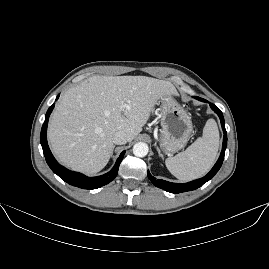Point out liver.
I'll return each mask as SVG.
<instances>
[{"instance_id":"obj_1","label":"liver","mask_w":269,"mask_h":269,"mask_svg":"<svg viewBox=\"0 0 269 269\" xmlns=\"http://www.w3.org/2000/svg\"><path fill=\"white\" fill-rule=\"evenodd\" d=\"M172 96L179 94L168 81L95 75L64 93L48 127L52 150L66 166L96 173L111 156L113 133L122 130L132 142L158 101Z\"/></svg>"}]
</instances>
